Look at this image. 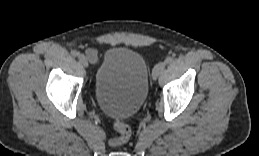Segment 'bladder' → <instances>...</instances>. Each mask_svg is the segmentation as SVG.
<instances>
[{"mask_svg":"<svg viewBox=\"0 0 259 156\" xmlns=\"http://www.w3.org/2000/svg\"><path fill=\"white\" fill-rule=\"evenodd\" d=\"M148 84L145 59L131 49L112 47L97 68L93 91L102 111L121 120L138 112L147 97Z\"/></svg>","mask_w":259,"mask_h":156,"instance_id":"obj_1","label":"bladder"}]
</instances>
